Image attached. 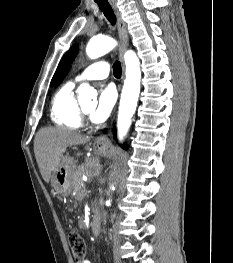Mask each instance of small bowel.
I'll use <instances>...</instances> for the list:
<instances>
[{
  "label": "small bowel",
  "mask_w": 233,
  "mask_h": 263,
  "mask_svg": "<svg viewBox=\"0 0 233 263\" xmlns=\"http://www.w3.org/2000/svg\"><path fill=\"white\" fill-rule=\"evenodd\" d=\"M81 263H91V261L89 259H84Z\"/></svg>",
  "instance_id": "obj_1"
}]
</instances>
